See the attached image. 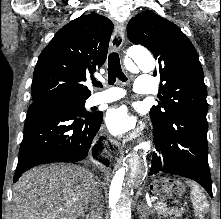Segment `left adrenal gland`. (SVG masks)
<instances>
[{
  "label": "left adrenal gland",
  "instance_id": "1",
  "mask_svg": "<svg viewBox=\"0 0 221 219\" xmlns=\"http://www.w3.org/2000/svg\"><path fill=\"white\" fill-rule=\"evenodd\" d=\"M144 209L146 210V212H142ZM137 210L140 213V218L141 219H146V217L152 212L149 207H145V206H142V205H138Z\"/></svg>",
  "mask_w": 221,
  "mask_h": 219
}]
</instances>
